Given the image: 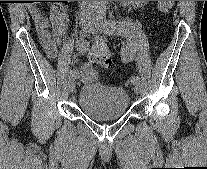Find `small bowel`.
Instances as JSON below:
<instances>
[{
  "label": "small bowel",
  "mask_w": 207,
  "mask_h": 169,
  "mask_svg": "<svg viewBox=\"0 0 207 169\" xmlns=\"http://www.w3.org/2000/svg\"><path fill=\"white\" fill-rule=\"evenodd\" d=\"M128 2L139 6L146 4L148 1ZM30 13L35 22L40 44L46 55L51 59L56 58L59 55V49L65 44V31L68 23L67 8L62 3L55 5L51 10L50 17H46L35 7L31 8ZM69 61L74 63L75 59L71 58ZM74 71L78 78L80 77L85 81L91 80L95 76L94 69L88 63Z\"/></svg>",
  "instance_id": "c3829d8e"
}]
</instances>
